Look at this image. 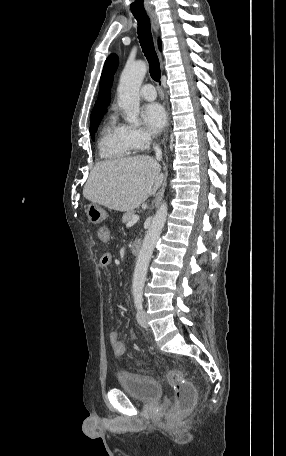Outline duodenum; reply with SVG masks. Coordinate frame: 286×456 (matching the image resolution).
I'll list each match as a JSON object with an SVG mask.
<instances>
[{
  "mask_svg": "<svg viewBox=\"0 0 286 456\" xmlns=\"http://www.w3.org/2000/svg\"><path fill=\"white\" fill-rule=\"evenodd\" d=\"M141 246H142V244H141L140 240L133 241L131 244V252L133 254H138L141 250Z\"/></svg>",
  "mask_w": 286,
  "mask_h": 456,
  "instance_id": "410a0bca",
  "label": "duodenum"
}]
</instances>
